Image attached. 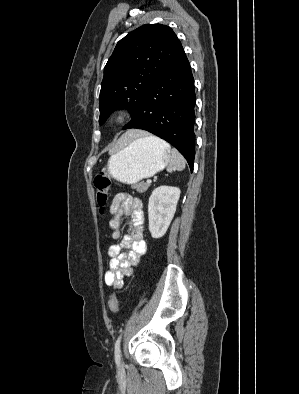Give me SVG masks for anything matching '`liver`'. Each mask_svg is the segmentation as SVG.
Returning <instances> with one entry per match:
<instances>
[{
  "mask_svg": "<svg viewBox=\"0 0 299 394\" xmlns=\"http://www.w3.org/2000/svg\"><path fill=\"white\" fill-rule=\"evenodd\" d=\"M147 134L143 131H139V130H130L128 132H126L122 138H121V145H126L127 143H129L130 141L134 140V139H138V138H142L144 136H146Z\"/></svg>",
  "mask_w": 299,
  "mask_h": 394,
  "instance_id": "1",
  "label": "liver"
}]
</instances>
